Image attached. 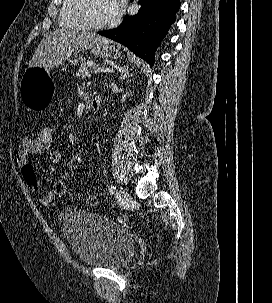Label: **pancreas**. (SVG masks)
<instances>
[{
  "label": "pancreas",
  "mask_w": 272,
  "mask_h": 303,
  "mask_svg": "<svg viewBox=\"0 0 272 303\" xmlns=\"http://www.w3.org/2000/svg\"><path fill=\"white\" fill-rule=\"evenodd\" d=\"M98 67L99 66L94 61L87 60L80 65L78 71L76 72V76L84 78L87 75H90L93 69Z\"/></svg>",
  "instance_id": "pancreas-1"
}]
</instances>
